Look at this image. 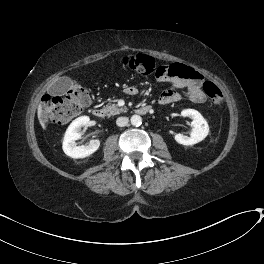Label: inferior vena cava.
<instances>
[{"instance_id": "602c4592", "label": "inferior vena cava", "mask_w": 264, "mask_h": 264, "mask_svg": "<svg viewBox=\"0 0 264 264\" xmlns=\"http://www.w3.org/2000/svg\"><path fill=\"white\" fill-rule=\"evenodd\" d=\"M128 118L127 117H119L117 118L116 120V124L119 126V127H124L128 124Z\"/></svg>"}]
</instances>
